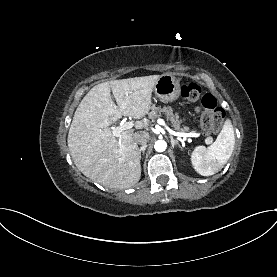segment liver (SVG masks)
Instances as JSON below:
<instances>
[{
	"mask_svg": "<svg viewBox=\"0 0 277 277\" xmlns=\"http://www.w3.org/2000/svg\"><path fill=\"white\" fill-rule=\"evenodd\" d=\"M159 75L112 80L94 86L77 107L68 133V148L76 167L91 180L126 189L141 176L139 148L133 130L121 137L109 126L122 116L141 119L149 113ZM111 91L118 104L111 99ZM136 129L145 124L137 121Z\"/></svg>",
	"mask_w": 277,
	"mask_h": 277,
	"instance_id": "6515ba94",
	"label": "liver"
}]
</instances>
